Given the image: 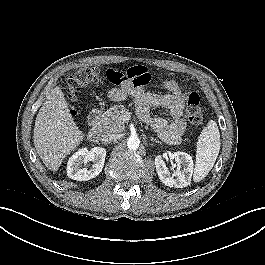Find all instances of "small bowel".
<instances>
[{
    "label": "small bowel",
    "instance_id": "c3829d8e",
    "mask_svg": "<svg viewBox=\"0 0 265 265\" xmlns=\"http://www.w3.org/2000/svg\"><path fill=\"white\" fill-rule=\"evenodd\" d=\"M130 69L136 72L146 83L137 85L132 81H127L119 87L111 89L108 92L109 98L113 101H122L128 96L134 97L139 118L148 123L163 141L170 144L179 143L186 128L183 118L184 92L173 79L166 80L163 83L166 94L146 92L143 86L150 80L148 70L142 66ZM151 107L168 109L171 120L169 121L163 117L152 118L149 112Z\"/></svg>",
    "mask_w": 265,
    "mask_h": 265
}]
</instances>
